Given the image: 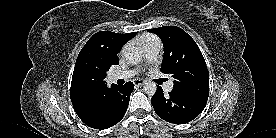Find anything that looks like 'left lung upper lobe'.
Masks as SVG:
<instances>
[{
	"mask_svg": "<svg viewBox=\"0 0 276 138\" xmlns=\"http://www.w3.org/2000/svg\"><path fill=\"white\" fill-rule=\"evenodd\" d=\"M158 35L164 46L161 71L175 79L173 91L208 100L209 73L195 41L177 26L149 29Z\"/></svg>",
	"mask_w": 276,
	"mask_h": 138,
	"instance_id": "left-lung-upper-lobe-1",
	"label": "left lung upper lobe"
}]
</instances>
